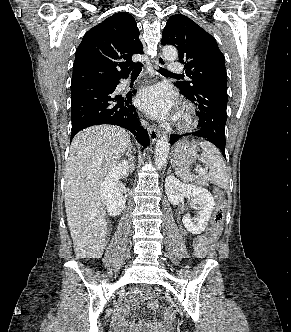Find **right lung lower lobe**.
Returning <instances> with one entry per match:
<instances>
[{
    "label": "right lung lower lobe",
    "mask_w": 291,
    "mask_h": 332,
    "mask_svg": "<svg viewBox=\"0 0 291 332\" xmlns=\"http://www.w3.org/2000/svg\"><path fill=\"white\" fill-rule=\"evenodd\" d=\"M118 84L119 80L97 79L72 86L71 139L87 127L113 124L129 130L142 146H148V132L140 126L131 103L132 93L118 94L115 91Z\"/></svg>",
    "instance_id": "1"
}]
</instances>
